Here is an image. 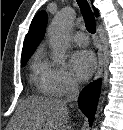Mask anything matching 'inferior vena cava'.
<instances>
[{"label":"inferior vena cava","mask_w":123,"mask_h":130,"mask_svg":"<svg viewBox=\"0 0 123 130\" xmlns=\"http://www.w3.org/2000/svg\"><path fill=\"white\" fill-rule=\"evenodd\" d=\"M78 96H79L78 84L72 81L69 84L68 95L64 103L67 104V103L76 102L78 100Z\"/></svg>","instance_id":"inferior-vena-cava-1"}]
</instances>
